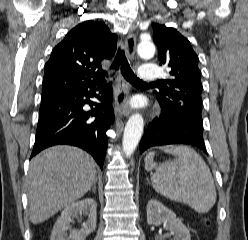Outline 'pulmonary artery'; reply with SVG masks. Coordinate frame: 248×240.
I'll use <instances>...</instances> for the list:
<instances>
[{
  "label": "pulmonary artery",
  "instance_id": "1",
  "mask_svg": "<svg viewBox=\"0 0 248 240\" xmlns=\"http://www.w3.org/2000/svg\"><path fill=\"white\" fill-rule=\"evenodd\" d=\"M161 69L154 64H144L140 67L138 78L143 82H152L160 77Z\"/></svg>",
  "mask_w": 248,
  "mask_h": 240
}]
</instances>
